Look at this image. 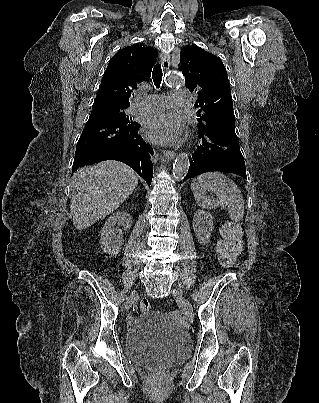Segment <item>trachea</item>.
<instances>
[{
	"instance_id": "obj_1",
	"label": "trachea",
	"mask_w": 319,
	"mask_h": 403,
	"mask_svg": "<svg viewBox=\"0 0 319 403\" xmlns=\"http://www.w3.org/2000/svg\"><path fill=\"white\" fill-rule=\"evenodd\" d=\"M162 69H161V65L158 63L154 66L153 71H152V79L154 82V85L159 88L160 84L162 82Z\"/></svg>"
}]
</instances>
